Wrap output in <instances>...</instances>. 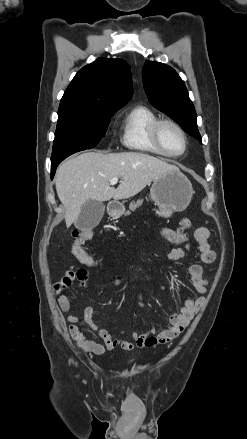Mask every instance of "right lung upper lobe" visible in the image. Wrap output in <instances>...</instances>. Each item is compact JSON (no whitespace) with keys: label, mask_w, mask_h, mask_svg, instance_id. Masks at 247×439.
Segmentation results:
<instances>
[{"label":"right lung upper lobe","mask_w":247,"mask_h":439,"mask_svg":"<svg viewBox=\"0 0 247 439\" xmlns=\"http://www.w3.org/2000/svg\"><path fill=\"white\" fill-rule=\"evenodd\" d=\"M132 94L128 64L122 59L99 58L75 75L64 92L59 110H118Z\"/></svg>","instance_id":"obj_1"}]
</instances>
